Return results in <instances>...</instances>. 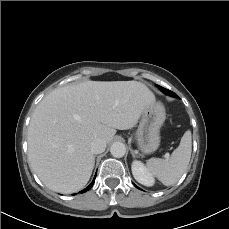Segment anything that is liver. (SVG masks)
Here are the masks:
<instances>
[{
  "instance_id": "1",
  "label": "liver",
  "mask_w": 229,
  "mask_h": 229,
  "mask_svg": "<svg viewBox=\"0 0 229 229\" xmlns=\"http://www.w3.org/2000/svg\"><path fill=\"white\" fill-rule=\"evenodd\" d=\"M154 102L153 92L138 81H85L53 90L29 124L31 169L53 191L82 189L95 164L92 141L109 143L116 129L133 128Z\"/></svg>"
}]
</instances>
